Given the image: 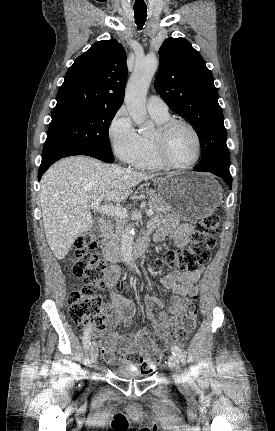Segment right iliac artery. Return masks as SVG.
Masks as SVG:
<instances>
[{
    "mask_svg": "<svg viewBox=\"0 0 275 431\" xmlns=\"http://www.w3.org/2000/svg\"><path fill=\"white\" fill-rule=\"evenodd\" d=\"M83 345L85 350H88L91 345L90 329H86L83 333Z\"/></svg>",
    "mask_w": 275,
    "mask_h": 431,
    "instance_id": "right-iliac-artery-1",
    "label": "right iliac artery"
}]
</instances>
